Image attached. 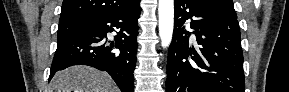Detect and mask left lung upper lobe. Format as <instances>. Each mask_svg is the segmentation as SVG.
Segmentation results:
<instances>
[{"label": "left lung upper lobe", "mask_w": 289, "mask_h": 92, "mask_svg": "<svg viewBox=\"0 0 289 92\" xmlns=\"http://www.w3.org/2000/svg\"><path fill=\"white\" fill-rule=\"evenodd\" d=\"M201 1L206 2L207 4L237 18L232 0H201Z\"/></svg>", "instance_id": "1"}]
</instances>
